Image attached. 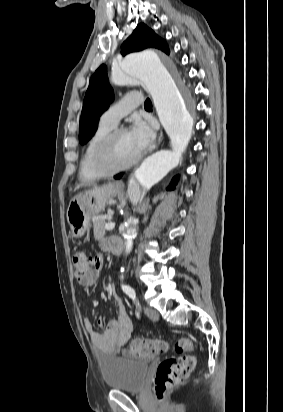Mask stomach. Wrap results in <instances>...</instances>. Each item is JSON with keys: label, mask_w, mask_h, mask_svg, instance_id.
<instances>
[{"label": "stomach", "mask_w": 283, "mask_h": 412, "mask_svg": "<svg viewBox=\"0 0 283 412\" xmlns=\"http://www.w3.org/2000/svg\"><path fill=\"white\" fill-rule=\"evenodd\" d=\"M118 191L115 185L106 184L72 198L66 213L72 236L82 237L90 226L91 218L104 211L108 200L114 198Z\"/></svg>", "instance_id": "1"}]
</instances>
